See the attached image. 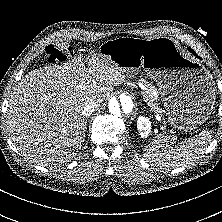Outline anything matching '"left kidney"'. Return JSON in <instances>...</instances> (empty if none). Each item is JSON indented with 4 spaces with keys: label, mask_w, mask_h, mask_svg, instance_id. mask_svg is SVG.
Listing matches in <instances>:
<instances>
[{
    "label": "left kidney",
    "mask_w": 222,
    "mask_h": 222,
    "mask_svg": "<svg viewBox=\"0 0 222 222\" xmlns=\"http://www.w3.org/2000/svg\"><path fill=\"white\" fill-rule=\"evenodd\" d=\"M137 129L141 137H147L151 132V122L148 118L140 116L137 121Z\"/></svg>",
    "instance_id": "1"
}]
</instances>
